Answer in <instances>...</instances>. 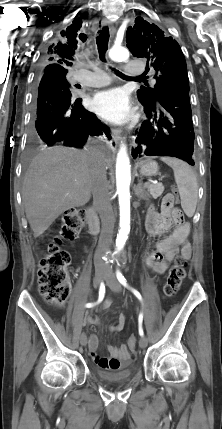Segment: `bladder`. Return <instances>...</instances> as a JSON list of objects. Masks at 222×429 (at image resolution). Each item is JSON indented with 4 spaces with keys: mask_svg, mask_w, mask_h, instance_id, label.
<instances>
[{
    "mask_svg": "<svg viewBox=\"0 0 222 429\" xmlns=\"http://www.w3.org/2000/svg\"><path fill=\"white\" fill-rule=\"evenodd\" d=\"M95 375L103 382L123 383L131 379L133 375V367H128L117 372H106L104 370L96 368Z\"/></svg>",
    "mask_w": 222,
    "mask_h": 429,
    "instance_id": "1",
    "label": "bladder"
}]
</instances>
